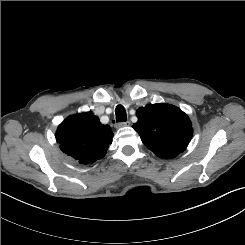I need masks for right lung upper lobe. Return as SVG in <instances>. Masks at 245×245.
<instances>
[{
    "instance_id": "1",
    "label": "right lung upper lobe",
    "mask_w": 245,
    "mask_h": 245,
    "mask_svg": "<svg viewBox=\"0 0 245 245\" xmlns=\"http://www.w3.org/2000/svg\"><path fill=\"white\" fill-rule=\"evenodd\" d=\"M60 149L81 164L103 158L114 136L93 112L75 114L65 119L56 131Z\"/></svg>"
}]
</instances>
